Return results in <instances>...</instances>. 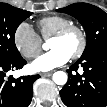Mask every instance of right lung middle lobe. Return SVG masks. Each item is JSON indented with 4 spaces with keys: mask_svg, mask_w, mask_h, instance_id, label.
<instances>
[{
    "mask_svg": "<svg viewBox=\"0 0 107 107\" xmlns=\"http://www.w3.org/2000/svg\"><path fill=\"white\" fill-rule=\"evenodd\" d=\"M32 12L15 8L9 4H0V59L12 61L21 58L14 42L17 27Z\"/></svg>",
    "mask_w": 107,
    "mask_h": 107,
    "instance_id": "right-lung-middle-lobe-1",
    "label": "right lung middle lobe"
}]
</instances>
